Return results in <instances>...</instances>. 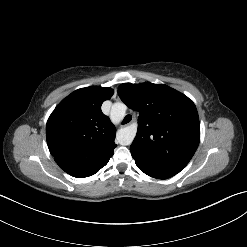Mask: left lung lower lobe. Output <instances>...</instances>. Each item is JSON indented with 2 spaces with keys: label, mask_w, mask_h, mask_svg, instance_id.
I'll return each instance as SVG.
<instances>
[{
  "label": "left lung lower lobe",
  "mask_w": 247,
  "mask_h": 247,
  "mask_svg": "<svg viewBox=\"0 0 247 247\" xmlns=\"http://www.w3.org/2000/svg\"><path fill=\"white\" fill-rule=\"evenodd\" d=\"M132 157L135 160L136 165L138 166V168L143 171L145 174H147L148 176L157 178V179H167L170 178L172 176H174L175 172L172 171H168V170H164L162 169L160 166H158L156 163L144 158V157H140L137 156L133 153Z\"/></svg>",
  "instance_id": "obj_1"
}]
</instances>
